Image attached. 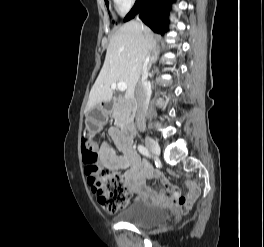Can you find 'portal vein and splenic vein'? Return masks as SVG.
Segmentation results:
<instances>
[{
	"instance_id": "18ae733b",
	"label": "portal vein and splenic vein",
	"mask_w": 264,
	"mask_h": 247,
	"mask_svg": "<svg viewBox=\"0 0 264 247\" xmlns=\"http://www.w3.org/2000/svg\"><path fill=\"white\" fill-rule=\"evenodd\" d=\"M118 89L119 91H125L127 89V83L125 82H119V83H112L111 84V89L115 90Z\"/></svg>"
}]
</instances>
